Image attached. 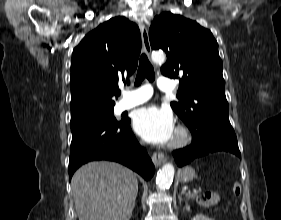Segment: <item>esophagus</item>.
Returning <instances> with one entry per match:
<instances>
[{
  "instance_id": "obj_1",
  "label": "esophagus",
  "mask_w": 281,
  "mask_h": 220,
  "mask_svg": "<svg viewBox=\"0 0 281 220\" xmlns=\"http://www.w3.org/2000/svg\"><path fill=\"white\" fill-rule=\"evenodd\" d=\"M140 31H141V36H142L143 50L149 56L151 53V45H150V40H149L148 29L144 24H141ZM152 161L155 166H160L161 164L167 162V158L161 152H154L152 155Z\"/></svg>"
}]
</instances>
